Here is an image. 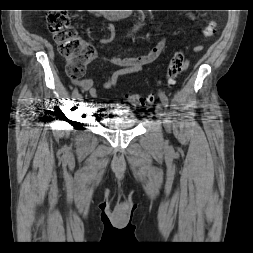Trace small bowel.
<instances>
[{"instance_id": "obj_1", "label": "small bowel", "mask_w": 253, "mask_h": 253, "mask_svg": "<svg viewBox=\"0 0 253 253\" xmlns=\"http://www.w3.org/2000/svg\"><path fill=\"white\" fill-rule=\"evenodd\" d=\"M190 19L195 20L194 16H189ZM200 27L202 25L198 23ZM167 44V39L165 36H162L155 46L145 55L138 57H107L104 55H99L101 60L104 62L111 63L113 65L119 66L120 69L112 70L107 79L100 84V87L103 89H108L111 87L118 86V80L123 75H135L141 72L142 68L154 62L164 51ZM202 46H196L195 51H201ZM72 83L79 87L81 90L86 91L90 94L92 98L97 99L99 97L98 88L95 81L92 78L78 79L73 78Z\"/></svg>"}]
</instances>
